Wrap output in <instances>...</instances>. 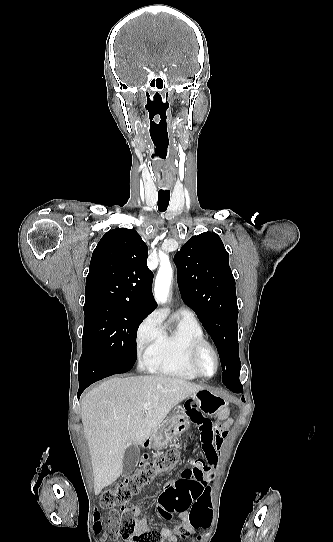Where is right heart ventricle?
I'll use <instances>...</instances> for the list:
<instances>
[{"label": "right heart ventricle", "instance_id": "e07e8e85", "mask_svg": "<svg viewBox=\"0 0 333 542\" xmlns=\"http://www.w3.org/2000/svg\"><path fill=\"white\" fill-rule=\"evenodd\" d=\"M159 324L161 338L156 343L139 349L141 367L149 372L183 380L197 378L188 365L191 345L204 340V333L197 319L177 312L176 323L170 329H166L162 320H159Z\"/></svg>", "mask_w": 333, "mask_h": 542}]
</instances>
